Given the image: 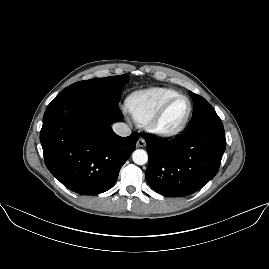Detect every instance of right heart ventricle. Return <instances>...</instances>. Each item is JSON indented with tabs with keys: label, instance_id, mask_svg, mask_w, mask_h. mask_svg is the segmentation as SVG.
Returning <instances> with one entry per match:
<instances>
[{
	"label": "right heart ventricle",
	"instance_id": "right-heart-ventricle-1",
	"mask_svg": "<svg viewBox=\"0 0 269 269\" xmlns=\"http://www.w3.org/2000/svg\"><path fill=\"white\" fill-rule=\"evenodd\" d=\"M176 95L179 93L174 89L153 87L132 93L127 98L126 105L133 119L141 125H146L163 103Z\"/></svg>",
	"mask_w": 269,
	"mask_h": 269
}]
</instances>
